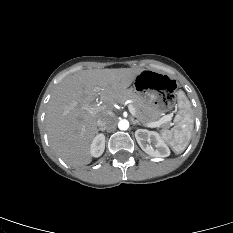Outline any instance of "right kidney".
Segmentation results:
<instances>
[{"label":"right kidney","instance_id":"1","mask_svg":"<svg viewBox=\"0 0 233 233\" xmlns=\"http://www.w3.org/2000/svg\"><path fill=\"white\" fill-rule=\"evenodd\" d=\"M105 149V136L98 134L90 145V154L93 157H99L103 154Z\"/></svg>","mask_w":233,"mask_h":233}]
</instances>
